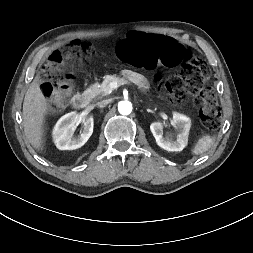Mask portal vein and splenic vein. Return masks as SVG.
<instances>
[{"instance_id": "portal-vein-and-splenic-vein-1", "label": "portal vein and splenic vein", "mask_w": 253, "mask_h": 253, "mask_svg": "<svg viewBox=\"0 0 253 253\" xmlns=\"http://www.w3.org/2000/svg\"><path fill=\"white\" fill-rule=\"evenodd\" d=\"M127 83V81H125V80H121V81H119V82H112L111 84H110V87L112 88V89H117L120 85H123V84H126Z\"/></svg>"}]
</instances>
